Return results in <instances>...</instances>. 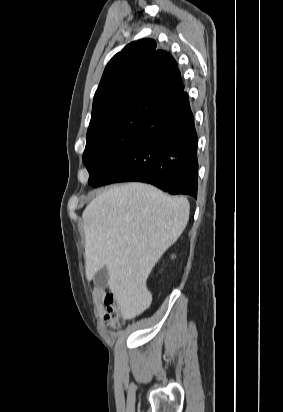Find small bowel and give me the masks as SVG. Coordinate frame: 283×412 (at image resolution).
Here are the masks:
<instances>
[{"label": "small bowel", "instance_id": "1", "mask_svg": "<svg viewBox=\"0 0 283 412\" xmlns=\"http://www.w3.org/2000/svg\"><path fill=\"white\" fill-rule=\"evenodd\" d=\"M101 295H102V291L97 290V291L95 292V296H96V297H100Z\"/></svg>", "mask_w": 283, "mask_h": 412}]
</instances>
